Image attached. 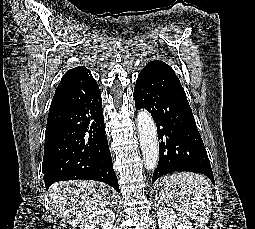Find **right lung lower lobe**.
<instances>
[{"mask_svg":"<svg viewBox=\"0 0 255 229\" xmlns=\"http://www.w3.org/2000/svg\"><path fill=\"white\" fill-rule=\"evenodd\" d=\"M101 92L88 69L70 76L53 97L46 132L55 136L44 150L46 188L57 181H101L119 192L105 132Z\"/></svg>","mask_w":255,"mask_h":229,"instance_id":"obj_1","label":"right lung lower lobe"}]
</instances>
